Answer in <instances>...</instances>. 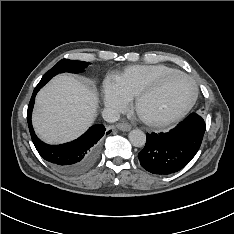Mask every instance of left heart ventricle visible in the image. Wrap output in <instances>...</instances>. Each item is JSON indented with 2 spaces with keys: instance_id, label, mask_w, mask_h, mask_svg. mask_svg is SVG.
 Returning a JSON list of instances; mask_svg holds the SVG:
<instances>
[{
  "instance_id": "obj_1",
  "label": "left heart ventricle",
  "mask_w": 234,
  "mask_h": 234,
  "mask_svg": "<svg viewBox=\"0 0 234 234\" xmlns=\"http://www.w3.org/2000/svg\"><path fill=\"white\" fill-rule=\"evenodd\" d=\"M192 95L191 82L184 77L175 76L144 101L142 111L148 116L173 114L185 107Z\"/></svg>"
}]
</instances>
